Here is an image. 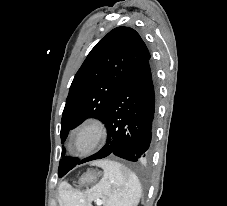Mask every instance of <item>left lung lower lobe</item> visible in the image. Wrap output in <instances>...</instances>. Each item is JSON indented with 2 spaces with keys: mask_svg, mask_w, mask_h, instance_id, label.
I'll return each instance as SVG.
<instances>
[{
  "mask_svg": "<svg viewBox=\"0 0 227 206\" xmlns=\"http://www.w3.org/2000/svg\"><path fill=\"white\" fill-rule=\"evenodd\" d=\"M155 104L156 89L148 60L123 83L109 107L104 121L108 132L106 145L77 164L112 154L130 161L147 157L154 137Z\"/></svg>",
  "mask_w": 227,
  "mask_h": 206,
  "instance_id": "0a47b994",
  "label": "left lung lower lobe"
}]
</instances>
